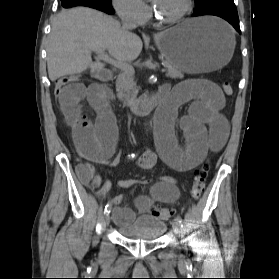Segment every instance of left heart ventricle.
I'll use <instances>...</instances> for the list:
<instances>
[{
    "label": "left heart ventricle",
    "mask_w": 279,
    "mask_h": 279,
    "mask_svg": "<svg viewBox=\"0 0 279 279\" xmlns=\"http://www.w3.org/2000/svg\"><path fill=\"white\" fill-rule=\"evenodd\" d=\"M156 13L164 18L178 15L186 6V0H150Z\"/></svg>",
    "instance_id": "left-heart-ventricle-1"
}]
</instances>
